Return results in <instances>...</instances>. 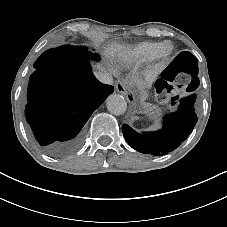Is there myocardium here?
Here are the masks:
<instances>
[{
  "label": "myocardium",
  "mask_w": 227,
  "mask_h": 227,
  "mask_svg": "<svg viewBox=\"0 0 227 227\" xmlns=\"http://www.w3.org/2000/svg\"><path fill=\"white\" fill-rule=\"evenodd\" d=\"M174 48L170 43L161 45L155 56V63L150 65L145 71V77L149 81H155L164 70L169 58L173 54Z\"/></svg>",
  "instance_id": "myocardium-1"
}]
</instances>
